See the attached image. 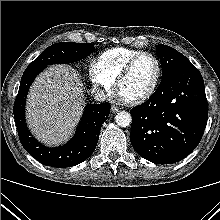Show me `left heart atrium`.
<instances>
[{
  "label": "left heart atrium",
  "instance_id": "obj_1",
  "mask_svg": "<svg viewBox=\"0 0 220 220\" xmlns=\"http://www.w3.org/2000/svg\"><path fill=\"white\" fill-rule=\"evenodd\" d=\"M119 96H120V98H121L122 100H125V98H123L120 94H119Z\"/></svg>",
  "mask_w": 220,
  "mask_h": 220
}]
</instances>
